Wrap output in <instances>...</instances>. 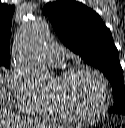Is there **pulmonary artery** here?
<instances>
[{"instance_id": "obj_1", "label": "pulmonary artery", "mask_w": 125, "mask_h": 128, "mask_svg": "<svg viewBox=\"0 0 125 128\" xmlns=\"http://www.w3.org/2000/svg\"><path fill=\"white\" fill-rule=\"evenodd\" d=\"M66 55V50L57 44H47L42 52V57L52 65H61Z\"/></svg>"}]
</instances>
